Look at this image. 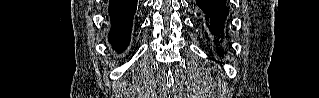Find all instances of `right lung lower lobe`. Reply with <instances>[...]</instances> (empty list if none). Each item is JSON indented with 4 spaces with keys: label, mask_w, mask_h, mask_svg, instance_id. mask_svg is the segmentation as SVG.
<instances>
[{
    "label": "right lung lower lobe",
    "mask_w": 319,
    "mask_h": 98,
    "mask_svg": "<svg viewBox=\"0 0 319 98\" xmlns=\"http://www.w3.org/2000/svg\"><path fill=\"white\" fill-rule=\"evenodd\" d=\"M136 7L137 0H111L109 3V41L116 51L124 50L130 41Z\"/></svg>",
    "instance_id": "1"
}]
</instances>
